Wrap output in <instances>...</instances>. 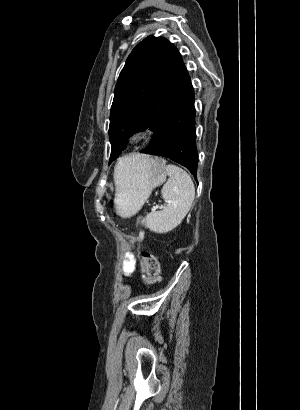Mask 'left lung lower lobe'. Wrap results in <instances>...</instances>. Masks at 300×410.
<instances>
[{"label":"left lung lower lobe","instance_id":"0a47b994","mask_svg":"<svg viewBox=\"0 0 300 410\" xmlns=\"http://www.w3.org/2000/svg\"><path fill=\"white\" fill-rule=\"evenodd\" d=\"M195 113L194 89L189 81L183 96L154 130L150 146L141 153L167 157L185 166L196 177L198 156Z\"/></svg>","mask_w":300,"mask_h":410}]
</instances>
